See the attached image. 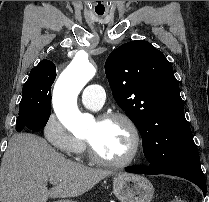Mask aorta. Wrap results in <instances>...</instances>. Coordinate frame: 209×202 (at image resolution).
Segmentation results:
<instances>
[{"label": "aorta", "mask_w": 209, "mask_h": 202, "mask_svg": "<svg viewBox=\"0 0 209 202\" xmlns=\"http://www.w3.org/2000/svg\"><path fill=\"white\" fill-rule=\"evenodd\" d=\"M96 68L83 53H77L58 78L53 95L55 113L73 134L84 133L93 123L90 114H83L77 107V96L82 88L94 77Z\"/></svg>", "instance_id": "obj_1"}]
</instances>
